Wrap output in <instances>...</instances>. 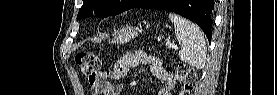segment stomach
Here are the masks:
<instances>
[{"label": "stomach", "mask_w": 277, "mask_h": 95, "mask_svg": "<svg viewBox=\"0 0 277 95\" xmlns=\"http://www.w3.org/2000/svg\"><path fill=\"white\" fill-rule=\"evenodd\" d=\"M138 36V30L133 27H126L120 30L114 37L113 42L124 44Z\"/></svg>", "instance_id": "stomach-1"}]
</instances>
